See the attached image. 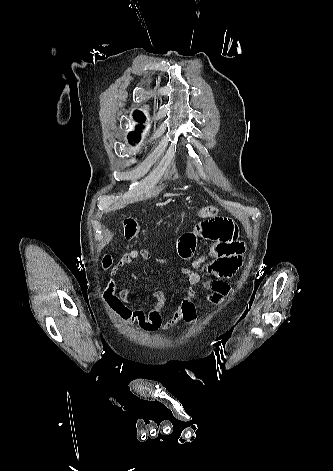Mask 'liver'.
I'll use <instances>...</instances> for the list:
<instances>
[{"mask_svg": "<svg viewBox=\"0 0 333 471\" xmlns=\"http://www.w3.org/2000/svg\"><path fill=\"white\" fill-rule=\"evenodd\" d=\"M171 194H166L165 196H170Z\"/></svg>", "mask_w": 333, "mask_h": 471, "instance_id": "obj_1", "label": "liver"}]
</instances>
